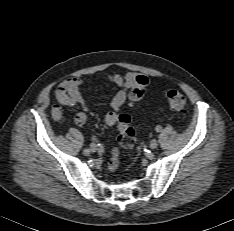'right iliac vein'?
Here are the masks:
<instances>
[{
    "instance_id": "right-iliac-vein-1",
    "label": "right iliac vein",
    "mask_w": 234,
    "mask_h": 231,
    "mask_svg": "<svg viewBox=\"0 0 234 231\" xmlns=\"http://www.w3.org/2000/svg\"><path fill=\"white\" fill-rule=\"evenodd\" d=\"M95 151H96V150H95ZM95 151H92L91 149H85V150L83 151V154H84V155H89L90 152H95Z\"/></svg>"
}]
</instances>
